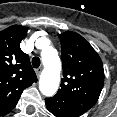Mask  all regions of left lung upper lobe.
Returning a JSON list of instances; mask_svg holds the SVG:
<instances>
[{
  "mask_svg": "<svg viewBox=\"0 0 117 117\" xmlns=\"http://www.w3.org/2000/svg\"><path fill=\"white\" fill-rule=\"evenodd\" d=\"M58 36L62 47L63 78L54 97L85 113L97 102L103 88L102 61L79 34L67 31Z\"/></svg>",
  "mask_w": 117,
  "mask_h": 117,
  "instance_id": "5c2ea615",
  "label": "left lung upper lobe"
}]
</instances>
